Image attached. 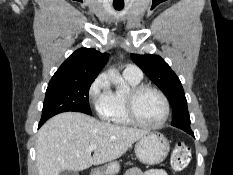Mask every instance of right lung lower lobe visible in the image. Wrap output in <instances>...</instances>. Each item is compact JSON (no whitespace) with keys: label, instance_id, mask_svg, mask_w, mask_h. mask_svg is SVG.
I'll use <instances>...</instances> for the list:
<instances>
[{"label":"right lung lower lobe","instance_id":"98d812e1","mask_svg":"<svg viewBox=\"0 0 233 175\" xmlns=\"http://www.w3.org/2000/svg\"><path fill=\"white\" fill-rule=\"evenodd\" d=\"M42 124H43V123H42V122H40V123H39V127H40Z\"/></svg>","mask_w":233,"mask_h":175}]
</instances>
